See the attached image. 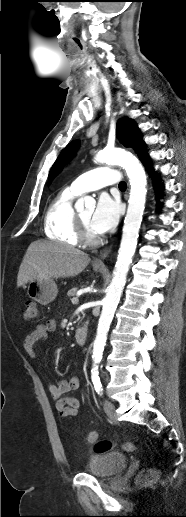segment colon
<instances>
[{"instance_id": "obj_1", "label": "colon", "mask_w": 186, "mask_h": 517, "mask_svg": "<svg viewBox=\"0 0 186 517\" xmlns=\"http://www.w3.org/2000/svg\"><path fill=\"white\" fill-rule=\"evenodd\" d=\"M39 317V309L38 305L35 301L29 300L25 302V308L23 311V318L25 320H36ZM88 443L94 444V450L96 453H106L115 447H120L125 451H133L135 449V445L130 442L124 443H114L108 440H99L96 441L94 433L91 431L87 435ZM159 474L154 469H149L144 471L139 476V481L143 484H152L158 480Z\"/></svg>"}]
</instances>
